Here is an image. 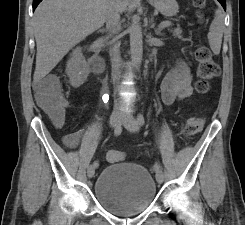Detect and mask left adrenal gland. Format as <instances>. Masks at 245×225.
Segmentation results:
<instances>
[{"label":"left adrenal gland","instance_id":"a2214340","mask_svg":"<svg viewBox=\"0 0 245 225\" xmlns=\"http://www.w3.org/2000/svg\"><path fill=\"white\" fill-rule=\"evenodd\" d=\"M154 21H153V18L151 19V28H154V23H153ZM155 33H156V35H160V36H162L163 34L161 33V31H159V30H157V29H155Z\"/></svg>","mask_w":245,"mask_h":225}]
</instances>
